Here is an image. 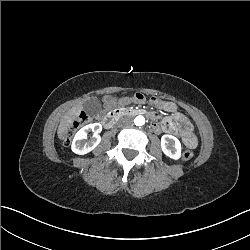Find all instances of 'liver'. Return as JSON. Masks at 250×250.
<instances>
[{
    "instance_id": "6515ba94",
    "label": "liver",
    "mask_w": 250,
    "mask_h": 250,
    "mask_svg": "<svg viewBox=\"0 0 250 250\" xmlns=\"http://www.w3.org/2000/svg\"><path fill=\"white\" fill-rule=\"evenodd\" d=\"M83 110L82 102L72 107L66 114L63 116L59 127L58 133L62 136L67 133L68 127L72 122L80 115V112Z\"/></svg>"
}]
</instances>
